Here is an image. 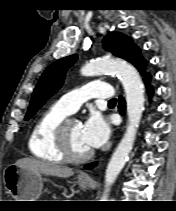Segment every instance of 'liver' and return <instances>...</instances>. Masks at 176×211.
I'll return each instance as SVG.
<instances>
[{
  "instance_id": "obj_1",
  "label": "liver",
  "mask_w": 176,
  "mask_h": 211,
  "mask_svg": "<svg viewBox=\"0 0 176 211\" xmlns=\"http://www.w3.org/2000/svg\"><path fill=\"white\" fill-rule=\"evenodd\" d=\"M16 166L25 168L33 172H39L46 175L67 178L73 176L74 171L66 166H61L34 158H22L16 161Z\"/></svg>"
}]
</instances>
